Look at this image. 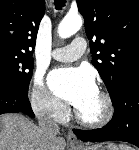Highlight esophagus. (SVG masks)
<instances>
[{"instance_id": "esophagus-1", "label": "esophagus", "mask_w": 139, "mask_h": 150, "mask_svg": "<svg viewBox=\"0 0 139 150\" xmlns=\"http://www.w3.org/2000/svg\"><path fill=\"white\" fill-rule=\"evenodd\" d=\"M67 141L69 144H72V145H80V142L78 141L77 137L72 131L68 132Z\"/></svg>"}]
</instances>
